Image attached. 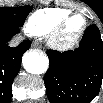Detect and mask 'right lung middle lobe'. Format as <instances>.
Returning <instances> with one entry per match:
<instances>
[{"instance_id":"1","label":"right lung middle lobe","mask_w":103,"mask_h":103,"mask_svg":"<svg viewBox=\"0 0 103 103\" xmlns=\"http://www.w3.org/2000/svg\"><path fill=\"white\" fill-rule=\"evenodd\" d=\"M30 11V6L2 7L0 8V26L22 27Z\"/></svg>"}]
</instances>
